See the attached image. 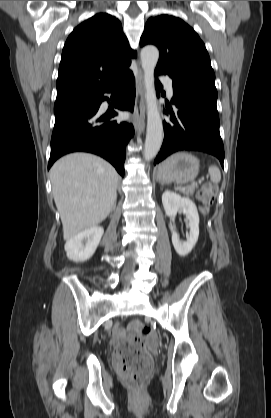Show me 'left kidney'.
<instances>
[{"instance_id":"1","label":"left kidney","mask_w":271,"mask_h":418,"mask_svg":"<svg viewBox=\"0 0 271 418\" xmlns=\"http://www.w3.org/2000/svg\"><path fill=\"white\" fill-rule=\"evenodd\" d=\"M162 203L165 213L170 218H175L178 211H183L189 220L190 232L186 241H180L175 226L170 223L169 228L172 232V243L179 256L188 255L199 237V215L195 203L187 197H181L172 191H165L162 195Z\"/></svg>"}]
</instances>
